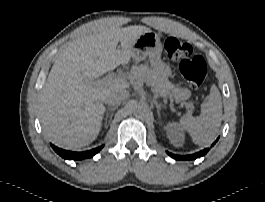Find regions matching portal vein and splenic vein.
<instances>
[{
	"label": "portal vein and splenic vein",
	"mask_w": 265,
	"mask_h": 202,
	"mask_svg": "<svg viewBox=\"0 0 265 202\" xmlns=\"http://www.w3.org/2000/svg\"><path fill=\"white\" fill-rule=\"evenodd\" d=\"M125 80V77L121 76V75H108L106 77H104L103 79L100 80H96L93 81V85L96 86H101V85H110V84H114V83H118V82H123ZM185 105L187 107H191L192 105L190 103H185Z\"/></svg>",
	"instance_id": "18ae733b"
}]
</instances>
